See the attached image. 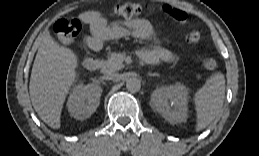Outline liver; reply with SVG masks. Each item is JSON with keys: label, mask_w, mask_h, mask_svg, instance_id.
Returning a JSON list of instances; mask_svg holds the SVG:
<instances>
[{"label": "liver", "mask_w": 259, "mask_h": 156, "mask_svg": "<svg viewBox=\"0 0 259 156\" xmlns=\"http://www.w3.org/2000/svg\"><path fill=\"white\" fill-rule=\"evenodd\" d=\"M77 65L75 53L60 46L45 31L33 63L29 92L38 116L51 128L59 129L61 126V111L76 81Z\"/></svg>", "instance_id": "6515ba94"}]
</instances>
